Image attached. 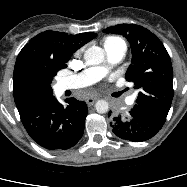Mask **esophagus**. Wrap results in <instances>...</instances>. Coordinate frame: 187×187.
I'll list each match as a JSON object with an SVG mask.
<instances>
[{"label":"esophagus","instance_id":"esophagus-1","mask_svg":"<svg viewBox=\"0 0 187 187\" xmlns=\"http://www.w3.org/2000/svg\"><path fill=\"white\" fill-rule=\"evenodd\" d=\"M96 100H97L96 98H88L86 100V103H87L88 106H91L96 102Z\"/></svg>","mask_w":187,"mask_h":187}]
</instances>
